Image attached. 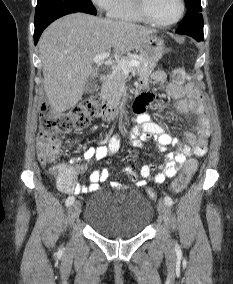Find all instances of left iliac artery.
I'll return each instance as SVG.
<instances>
[{"label": "left iliac artery", "instance_id": "1", "mask_svg": "<svg viewBox=\"0 0 233 284\" xmlns=\"http://www.w3.org/2000/svg\"><path fill=\"white\" fill-rule=\"evenodd\" d=\"M164 202L168 205V206H172L173 205V200L171 199V197L166 196L164 198Z\"/></svg>", "mask_w": 233, "mask_h": 284}]
</instances>
